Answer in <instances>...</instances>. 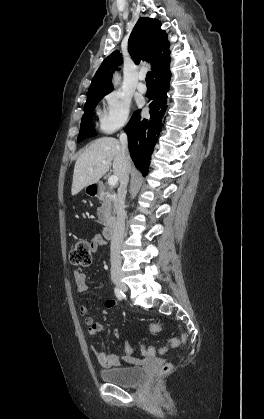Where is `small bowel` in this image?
Listing matches in <instances>:
<instances>
[{
  "instance_id": "obj_1",
  "label": "small bowel",
  "mask_w": 264,
  "mask_h": 419,
  "mask_svg": "<svg viewBox=\"0 0 264 419\" xmlns=\"http://www.w3.org/2000/svg\"><path fill=\"white\" fill-rule=\"evenodd\" d=\"M107 244V241L101 236V235H95L91 240V248L94 252L98 250L99 247L104 246ZM74 280L76 285V291L78 293H84L88 289L87 280H86V274L81 269H77L74 271ZM106 308L109 310H113L116 307V303L113 300H108L105 304ZM79 313L84 318V323L88 326V333L90 336L94 337L98 334H100L103 330V326L101 323L94 320L93 317L89 316V310L88 307L85 305H82L79 307ZM157 325V333L161 331L160 324L156 323ZM150 331L154 333L153 326L151 324ZM113 336L115 338L120 337V331L118 329H115L113 331ZM171 341V340H170ZM170 341L168 343V346L170 347ZM167 348L162 349H156L155 347H141V352L143 355L147 357H154L157 355V353H162ZM124 358L130 359L132 353H133V347L130 343L126 342L124 344ZM94 354L100 363L102 367L105 368H111L115 366H119L121 364V358L117 354H106L103 351L94 349Z\"/></svg>"
}]
</instances>
